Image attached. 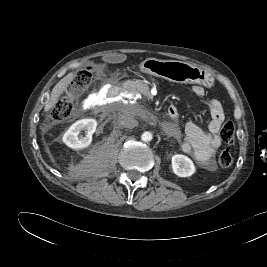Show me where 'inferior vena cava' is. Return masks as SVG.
<instances>
[{
	"label": "inferior vena cava",
	"instance_id": "obj_1",
	"mask_svg": "<svg viewBox=\"0 0 267 267\" xmlns=\"http://www.w3.org/2000/svg\"><path fill=\"white\" fill-rule=\"evenodd\" d=\"M119 124L125 128L132 129L138 126V121L131 114L124 113L119 117Z\"/></svg>",
	"mask_w": 267,
	"mask_h": 267
}]
</instances>
